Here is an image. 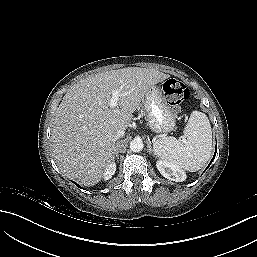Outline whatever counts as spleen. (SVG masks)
I'll list each match as a JSON object with an SVG mask.
<instances>
[{
	"label": "spleen",
	"instance_id": "obj_1",
	"mask_svg": "<svg viewBox=\"0 0 257 257\" xmlns=\"http://www.w3.org/2000/svg\"><path fill=\"white\" fill-rule=\"evenodd\" d=\"M212 131L208 117L193 111L184 129V139L162 137L153 143V151L161 160L190 172L201 169L212 154Z\"/></svg>",
	"mask_w": 257,
	"mask_h": 257
}]
</instances>
